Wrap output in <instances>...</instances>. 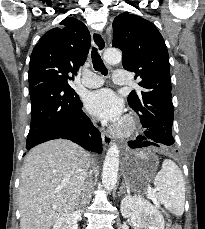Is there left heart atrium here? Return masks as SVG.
Segmentation results:
<instances>
[{
  "label": "left heart atrium",
  "mask_w": 205,
  "mask_h": 229,
  "mask_svg": "<svg viewBox=\"0 0 205 229\" xmlns=\"http://www.w3.org/2000/svg\"><path fill=\"white\" fill-rule=\"evenodd\" d=\"M85 107L91 114L110 122H118L123 110L121 100L110 89L90 92L85 98Z\"/></svg>",
  "instance_id": "39dd6f15"
}]
</instances>
